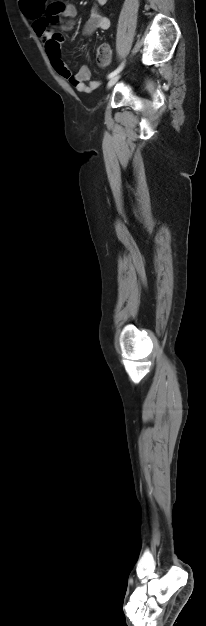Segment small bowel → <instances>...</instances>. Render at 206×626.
I'll return each instance as SVG.
<instances>
[{
  "instance_id": "1",
  "label": "small bowel",
  "mask_w": 206,
  "mask_h": 626,
  "mask_svg": "<svg viewBox=\"0 0 206 626\" xmlns=\"http://www.w3.org/2000/svg\"><path fill=\"white\" fill-rule=\"evenodd\" d=\"M106 2L107 0H95L83 29L85 36L110 27V20L99 12V6ZM24 12L32 19L34 32L44 42L45 51L57 73L78 92L91 93L98 88L101 82L91 80V72L87 66H82L73 73L61 56V45L64 40L61 32L73 28V20L77 14L75 6L68 2L57 1L46 4L43 0H37L33 6L25 7Z\"/></svg>"
}]
</instances>
